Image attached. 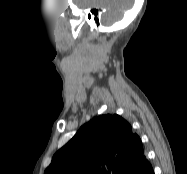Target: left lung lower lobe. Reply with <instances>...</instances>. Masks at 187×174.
<instances>
[{"mask_svg": "<svg viewBox=\"0 0 187 174\" xmlns=\"http://www.w3.org/2000/svg\"><path fill=\"white\" fill-rule=\"evenodd\" d=\"M131 174H154V171L149 163L142 169H138V167H136Z\"/></svg>", "mask_w": 187, "mask_h": 174, "instance_id": "left-lung-lower-lobe-1", "label": "left lung lower lobe"}]
</instances>
